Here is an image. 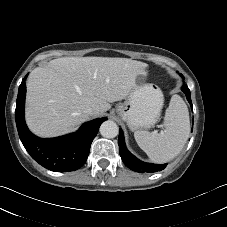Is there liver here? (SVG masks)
<instances>
[{"label":"liver","mask_w":227,"mask_h":227,"mask_svg":"<svg viewBox=\"0 0 227 227\" xmlns=\"http://www.w3.org/2000/svg\"><path fill=\"white\" fill-rule=\"evenodd\" d=\"M147 64L111 57H61L37 67L27 80L26 122L40 137L76 130L89 115L98 116L121 101L135 87Z\"/></svg>","instance_id":"obj_1"}]
</instances>
